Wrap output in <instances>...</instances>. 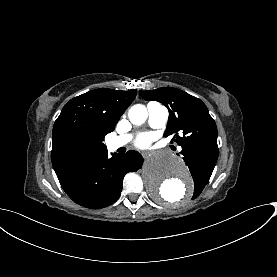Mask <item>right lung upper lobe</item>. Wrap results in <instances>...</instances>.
I'll return each mask as SVG.
<instances>
[{"instance_id":"obj_1","label":"right lung upper lobe","mask_w":277,"mask_h":277,"mask_svg":"<svg viewBox=\"0 0 277 277\" xmlns=\"http://www.w3.org/2000/svg\"><path fill=\"white\" fill-rule=\"evenodd\" d=\"M136 94L102 88L71 99L53 127L51 159L56 174L107 151L105 135L114 130Z\"/></svg>"}]
</instances>
